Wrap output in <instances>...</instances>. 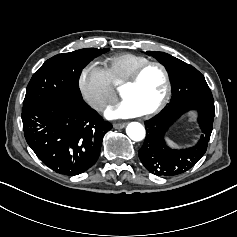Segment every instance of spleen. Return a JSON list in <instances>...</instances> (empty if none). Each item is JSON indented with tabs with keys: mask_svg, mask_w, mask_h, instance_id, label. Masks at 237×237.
<instances>
[{
	"mask_svg": "<svg viewBox=\"0 0 237 237\" xmlns=\"http://www.w3.org/2000/svg\"><path fill=\"white\" fill-rule=\"evenodd\" d=\"M166 142L168 143V145H169L171 148H180L179 145H177L175 142H173L172 140H170L168 137H166Z\"/></svg>",
	"mask_w": 237,
	"mask_h": 237,
	"instance_id": "3e777b00",
	"label": "spleen"
}]
</instances>
